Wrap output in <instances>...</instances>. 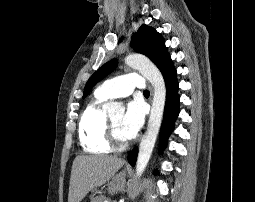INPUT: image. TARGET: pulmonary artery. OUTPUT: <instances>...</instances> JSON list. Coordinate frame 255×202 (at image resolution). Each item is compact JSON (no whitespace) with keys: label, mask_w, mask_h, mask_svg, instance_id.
I'll use <instances>...</instances> for the list:
<instances>
[{"label":"pulmonary artery","mask_w":255,"mask_h":202,"mask_svg":"<svg viewBox=\"0 0 255 202\" xmlns=\"http://www.w3.org/2000/svg\"><path fill=\"white\" fill-rule=\"evenodd\" d=\"M145 80L136 73H128L103 82L96 94L104 99H114L130 95L135 88L145 89Z\"/></svg>","instance_id":"1"}]
</instances>
